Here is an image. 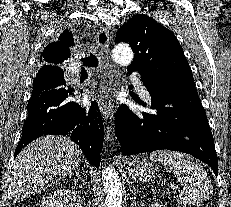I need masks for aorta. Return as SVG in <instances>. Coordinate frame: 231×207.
I'll return each instance as SVG.
<instances>
[{"label": "aorta", "instance_id": "762f6f07", "mask_svg": "<svg viewBox=\"0 0 231 207\" xmlns=\"http://www.w3.org/2000/svg\"><path fill=\"white\" fill-rule=\"evenodd\" d=\"M112 57L117 64L128 66L132 62L134 55L128 44L120 43L113 49ZM102 183L105 193L104 207H122V183L115 169L112 167L102 169Z\"/></svg>", "mask_w": 231, "mask_h": 207}]
</instances>
